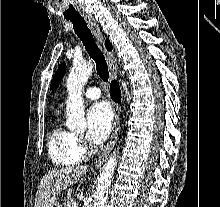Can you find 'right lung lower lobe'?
<instances>
[{"label":"right lung lower lobe","mask_w":220,"mask_h":207,"mask_svg":"<svg viewBox=\"0 0 220 207\" xmlns=\"http://www.w3.org/2000/svg\"><path fill=\"white\" fill-rule=\"evenodd\" d=\"M110 95H111V98L115 102H120V100H121V91H120V87H119V85L116 81L111 82Z\"/></svg>","instance_id":"1"}]
</instances>
